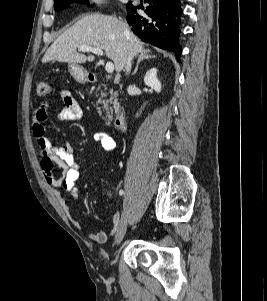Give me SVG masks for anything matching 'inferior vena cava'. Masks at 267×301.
I'll use <instances>...</instances> for the list:
<instances>
[{"instance_id": "602c4592", "label": "inferior vena cava", "mask_w": 267, "mask_h": 301, "mask_svg": "<svg viewBox=\"0 0 267 301\" xmlns=\"http://www.w3.org/2000/svg\"><path fill=\"white\" fill-rule=\"evenodd\" d=\"M126 32H127V30H126ZM132 59H133V55H132V53H130V54L128 55V57H127V60H126V66H125L126 72H127V73H129L130 70H131Z\"/></svg>"}]
</instances>
